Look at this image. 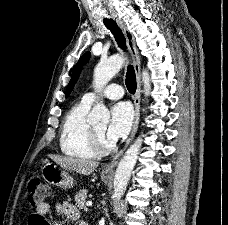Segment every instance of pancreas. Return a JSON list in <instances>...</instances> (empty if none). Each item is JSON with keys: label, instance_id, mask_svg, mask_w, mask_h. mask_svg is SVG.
<instances>
[{"label": "pancreas", "instance_id": "1", "mask_svg": "<svg viewBox=\"0 0 228 225\" xmlns=\"http://www.w3.org/2000/svg\"><path fill=\"white\" fill-rule=\"evenodd\" d=\"M87 193L88 191H86V189H83V191H80V193H77V195H75V205H77L79 209H83V207H85V199L88 197Z\"/></svg>", "mask_w": 228, "mask_h": 225}]
</instances>
